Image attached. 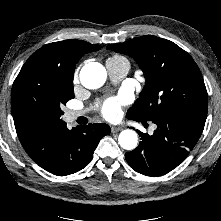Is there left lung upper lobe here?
I'll return each instance as SVG.
<instances>
[{
    "mask_svg": "<svg viewBox=\"0 0 221 221\" xmlns=\"http://www.w3.org/2000/svg\"><path fill=\"white\" fill-rule=\"evenodd\" d=\"M107 49L131 56L146 78L127 116L145 121L193 116L206 121L208 95L193 58L175 43L147 35Z\"/></svg>",
    "mask_w": 221,
    "mask_h": 221,
    "instance_id": "left-lung-upper-lobe-1",
    "label": "left lung upper lobe"
}]
</instances>
